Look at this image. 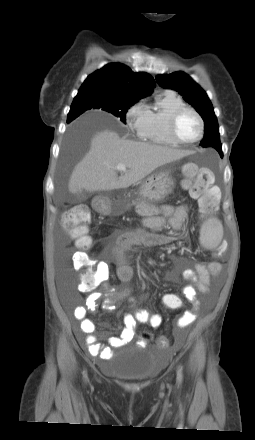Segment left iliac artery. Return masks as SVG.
<instances>
[{"label":"left iliac artery","instance_id":"left-iliac-artery-1","mask_svg":"<svg viewBox=\"0 0 255 440\" xmlns=\"http://www.w3.org/2000/svg\"><path fill=\"white\" fill-rule=\"evenodd\" d=\"M181 379H182V373H181V370L179 369L178 370V381L181 382Z\"/></svg>","mask_w":255,"mask_h":440}]
</instances>
